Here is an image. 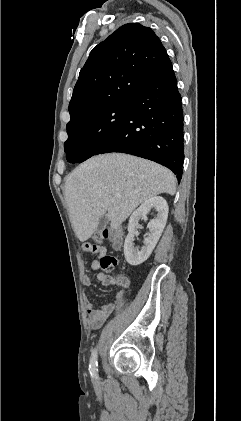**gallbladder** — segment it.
<instances>
[{
  "label": "gallbladder",
  "mask_w": 241,
  "mask_h": 421,
  "mask_svg": "<svg viewBox=\"0 0 241 421\" xmlns=\"http://www.w3.org/2000/svg\"><path fill=\"white\" fill-rule=\"evenodd\" d=\"M109 223V217L107 215H104L100 218L99 222H98V226L96 228L95 233L99 234L103 229L106 228V226Z\"/></svg>",
  "instance_id": "obj_1"
}]
</instances>
